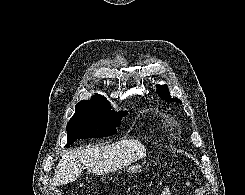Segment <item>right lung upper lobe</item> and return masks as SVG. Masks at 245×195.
<instances>
[{"label":"right lung upper lobe","instance_id":"1","mask_svg":"<svg viewBox=\"0 0 245 195\" xmlns=\"http://www.w3.org/2000/svg\"><path fill=\"white\" fill-rule=\"evenodd\" d=\"M90 101H98V102H105V103H108V101L106 100L105 97L99 95V94H96L93 96V99H91Z\"/></svg>","mask_w":245,"mask_h":195}]
</instances>
